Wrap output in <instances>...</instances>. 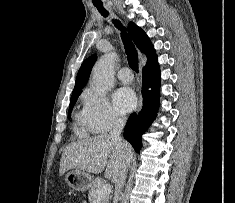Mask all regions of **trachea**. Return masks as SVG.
<instances>
[{"instance_id": "trachea-1", "label": "trachea", "mask_w": 235, "mask_h": 203, "mask_svg": "<svg viewBox=\"0 0 235 203\" xmlns=\"http://www.w3.org/2000/svg\"><path fill=\"white\" fill-rule=\"evenodd\" d=\"M101 15L104 17L108 16V12L103 8L102 4H95ZM115 26L121 30V38L124 44L125 52L127 54L129 66L138 73V54L136 48L125 31V28L121 25L120 21H113Z\"/></svg>"}]
</instances>
